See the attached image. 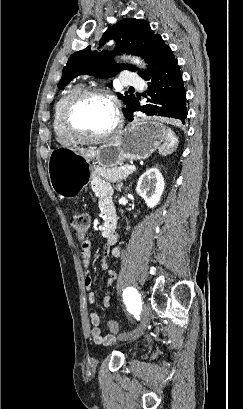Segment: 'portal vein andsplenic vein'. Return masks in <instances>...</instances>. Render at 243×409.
Here are the masks:
<instances>
[{
	"label": "portal vein and splenic vein",
	"instance_id": "1",
	"mask_svg": "<svg viewBox=\"0 0 243 409\" xmlns=\"http://www.w3.org/2000/svg\"><path fill=\"white\" fill-rule=\"evenodd\" d=\"M127 169H130V170H135V169H136V167H135L134 165H128V166H127Z\"/></svg>",
	"mask_w": 243,
	"mask_h": 409
}]
</instances>
